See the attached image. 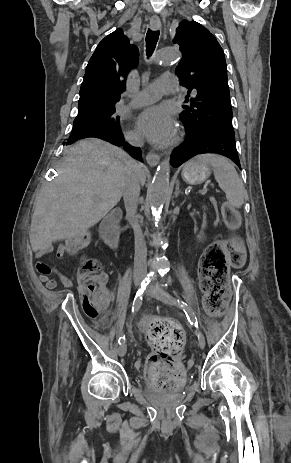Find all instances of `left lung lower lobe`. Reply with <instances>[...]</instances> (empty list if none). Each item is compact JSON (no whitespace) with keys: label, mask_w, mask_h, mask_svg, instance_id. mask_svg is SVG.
I'll return each mask as SVG.
<instances>
[{"label":"left lung lower lobe","mask_w":291,"mask_h":463,"mask_svg":"<svg viewBox=\"0 0 291 463\" xmlns=\"http://www.w3.org/2000/svg\"><path fill=\"white\" fill-rule=\"evenodd\" d=\"M183 124L185 140L171 155L173 167L180 166L196 155L212 153L231 159L241 169L234 134Z\"/></svg>","instance_id":"1"}]
</instances>
